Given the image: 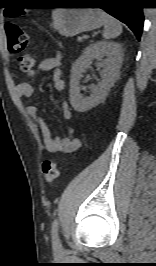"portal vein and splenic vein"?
Masks as SVG:
<instances>
[{"mask_svg":"<svg viewBox=\"0 0 156 266\" xmlns=\"http://www.w3.org/2000/svg\"><path fill=\"white\" fill-rule=\"evenodd\" d=\"M82 39H83L82 37H78V41H79V42H81V41H82Z\"/></svg>","mask_w":156,"mask_h":266,"instance_id":"18ae733b","label":"portal vein and splenic vein"}]
</instances>
